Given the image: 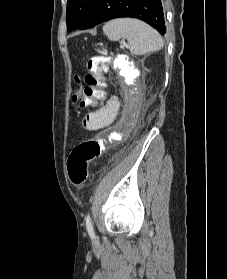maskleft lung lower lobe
<instances>
[{"mask_svg":"<svg viewBox=\"0 0 227 279\" xmlns=\"http://www.w3.org/2000/svg\"><path fill=\"white\" fill-rule=\"evenodd\" d=\"M119 17L141 19L162 35L166 31L161 0H94L79 29L91 28Z\"/></svg>","mask_w":227,"mask_h":279,"instance_id":"left-lung-lower-lobe-1","label":"left lung lower lobe"}]
</instances>
